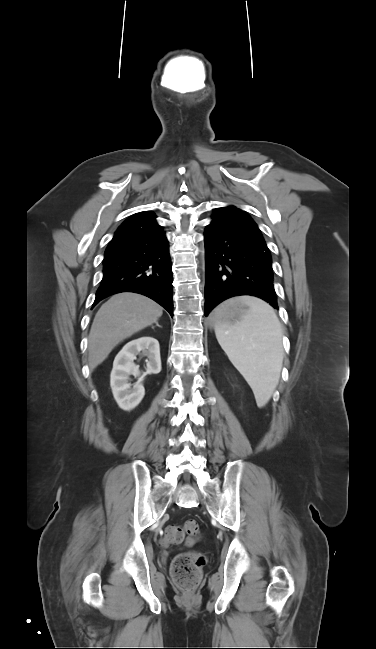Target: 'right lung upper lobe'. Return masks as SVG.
<instances>
[{
    "instance_id": "1",
    "label": "right lung upper lobe",
    "mask_w": 376,
    "mask_h": 649,
    "mask_svg": "<svg viewBox=\"0 0 376 649\" xmlns=\"http://www.w3.org/2000/svg\"><path fill=\"white\" fill-rule=\"evenodd\" d=\"M161 229L153 212H140L132 215L117 229L110 243L148 234Z\"/></svg>"
}]
</instances>
